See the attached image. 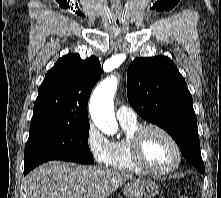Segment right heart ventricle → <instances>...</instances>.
Returning a JSON list of instances; mask_svg holds the SVG:
<instances>
[{
  "instance_id": "right-heart-ventricle-1",
  "label": "right heart ventricle",
  "mask_w": 221,
  "mask_h": 198,
  "mask_svg": "<svg viewBox=\"0 0 221 198\" xmlns=\"http://www.w3.org/2000/svg\"><path fill=\"white\" fill-rule=\"evenodd\" d=\"M121 126L124 129L126 136L121 140L112 142L109 166L112 169L119 171H128L135 173L143 172L133 159L130 145V140L133 133L140 126L137 121L133 123H121Z\"/></svg>"
}]
</instances>
